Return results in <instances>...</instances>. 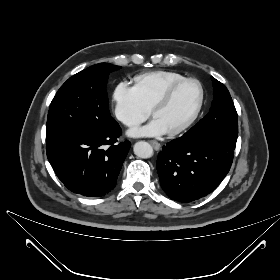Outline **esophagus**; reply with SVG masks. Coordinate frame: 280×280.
<instances>
[{"instance_id": "esophagus-1", "label": "esophagus", "mask_w": 280, "mask_h": 280, "mask_svg": "<svg viewBox=\"0 0 280 280\" xmlns=\"http://www.w3.org/2000/svg\"><path fill=\"white\" fill-rule=\"evenodd\" d=\"M149 143L156 151L160 149V144L157 141L150 140Z\"/></svg>"}]
</instances>
